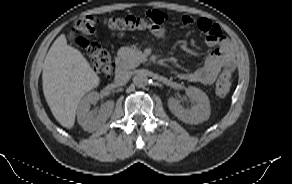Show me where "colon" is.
Segmentation results:
<instances>
[{
    "label": "colon",
    "instance_id": "5ec220e1",
    "mask_svg": "<svg viewBox=\"0 0 292 184\" xmlns=\"http://www.w3.org/2000/svg\"><path fill=\"white\" fill-rule=\"evenodd\" d=\"M166 15L159 11H150L145 17L124 16L107 19L104 23L115 34H123L133 30L149 29L152 32L159 30ZM99 20L93 15H86L78 18L73 23V29L76 33V41L88 54L94 69L109 77L112 74V59L110 52L102 45L88 40L97 28ZM232 73L223 71L216 82V94L225 97L231 86Z\"/></svg>",
    "mask_w": 292,
    "mask_h": 184
}]
</instances>
